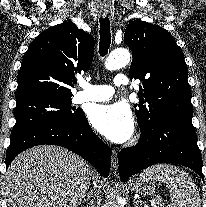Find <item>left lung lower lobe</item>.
<instances>
[{"mask_svg": "<svg viewBox=\"0 0 206 207\" xmlns=\"http://www.w3.org/2000/svg\"><path fill=\"white\" fill-rule=\"evenodd\" d=\"M187 166L203 179L202 158L192 125V116L160 117L148 130H141L140 141L119 153V172L123 182L156 163Z\"/></svg>", "mask_w": 206, "mask_h": 207, "instance_id": "obj_1", "label": "left lung lower lobe"}]
</instances>
